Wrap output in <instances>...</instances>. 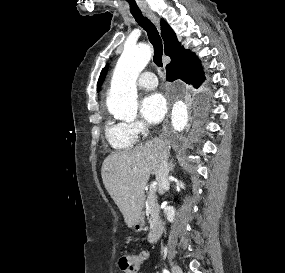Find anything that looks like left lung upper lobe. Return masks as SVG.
I'll return each instance as SVG.
<instances>
[{
    "label": "left lung upper lobe",
    "mask_w": 285,
    "mask_h": 273,
    "mask_svg": "<svg viewBox=\"0 0 285 273\" xmlns=\"http://www.w3.org/2000/svg\"><path fill=\"white\" fill-rule=\"evenodd\" d=\"M106 70H107V66H106V67L102 70V72H101L100 78H99V80H98V90L100 89L101 84H102V82H103V80H104V78H105Z\"/></svg>",
    "instance_id": "1"
}]
</instances>
